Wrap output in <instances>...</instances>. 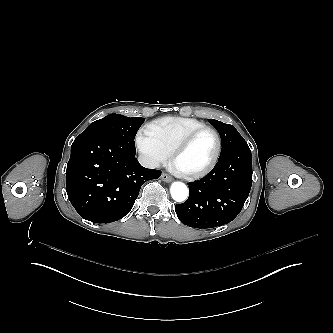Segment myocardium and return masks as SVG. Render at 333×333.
I'll list each match as a JSON object with an SVG mask.
<instances>
[{
    "label": "myocardium",
    "mask_w": 333,
    "mask_h": 333,
    "mask_svg": "<svg viewBox=\"0 0 333 333\" xmlns=\"http://www.w3.org/2000/svg\"><path fill=\"white\" fill-rule=\"evenodd\" d=\"M203 131H210L213 134V136L215 137V140H216L215 154H214L212 160L208 163V165H206L205 167H203L197 171L190 172V173L176 172V174L181 178H184L186 180L200 179V178L206 176L208 173H210L215 168V166L217 165V163L219 161L221 151H222L221 137L214 128H212L210 126H203V127H199V128L191 130L190 132L185 134L174 145V147L172 148V150L170 151V153L168 155V160H167L168 167L169 168L172 167V163H173L174 159L189 146V144L198 134H200Z\"/></svg>",
    "instance_id": "myocardium-1"
}]
</instances>
